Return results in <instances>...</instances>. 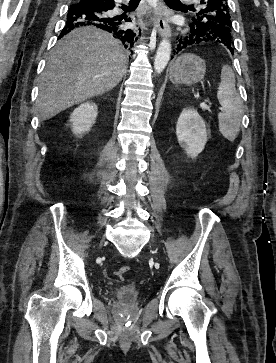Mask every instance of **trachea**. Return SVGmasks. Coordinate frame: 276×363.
<instances>
[{
    "label": "trachea",
    "instance_id": "1",
    "mask_svg": "<svg viewBox=\"0 0 276 363\" xmlns=\"http://www.w3.org/2000/svg\"><path fill=\"white\" fill-rule=\"evenodd\" d=\"M164 1L169 5L183 6L180 0H164ZM139 2L140 0H130V4L135 6H137Z\"/></svg>",
    "mask_w": 276,
    "mask_h": 363
}]
</instances>
